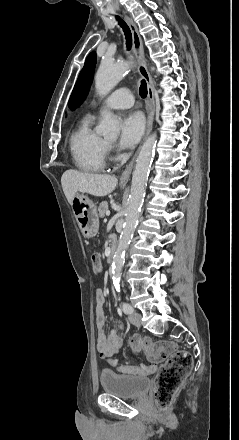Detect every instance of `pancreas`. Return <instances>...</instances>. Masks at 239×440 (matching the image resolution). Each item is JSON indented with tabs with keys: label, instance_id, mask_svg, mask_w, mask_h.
Returning <instances> with one entry per match:
<instances>
[{
	"label": "pancreas",
	"instance_id": "obj_1",
	"mask_svg": "<svg viewBox=\"0 0 239 440\" xmlns=\"http://www.w3.org/2000/svg\"><path fill=\"white\" fill-rule=\"evenodd\" d=\"M108 210V202H101V204H99V208H98V216L99 218H105V214Z\"/></svg>",
	"mask_w": 239,
	"mask_h": 440
}]
</instances>
